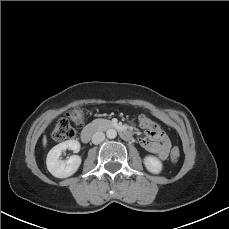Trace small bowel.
I'll use <instances>...</instances> for the list:
<instances>
[{
  "instance_id": "c3829d8e",
  "label": "small bowel",
  "mask_w": 229,
  "mask_h": 229,
  "mask_svg": "<svg viewBox=\"0 0 229 229\" xmlns=\"http://www.w3.org/2000/svg\"><path fill=\"white\" fill-rule=\"evenodd\" d=\"M139 121L141 126L147 129L145 136L139 138L140 145L160 160H165L171 147L168 136L147 116L141 115Z\"/></svg>"
}]
</instances>
